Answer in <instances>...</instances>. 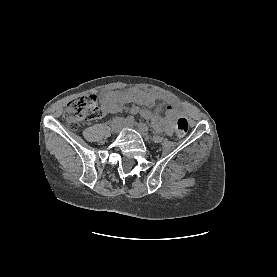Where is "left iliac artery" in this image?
I'll return each mask as SVG.
<instances>
[{
	"label": "left iliac artery",
	"mask_w": 277,
	"mask_h": 277,
	"mask_svg": "<svg viewBox=\"0 0 277 277\" xmlns=\"http://www.w3.org/2000/svg\"><path fill=\"white\" fill-rule=\"evenodd\" d=\"M137 125H138V127H139V129H140L141 131L148 133L149 127H148L146 124H144V123H139V124H137Z\"/></svg>",
	"instance_id": "1"
}]
</instances>
